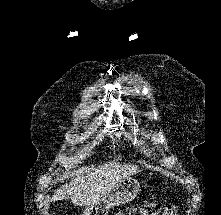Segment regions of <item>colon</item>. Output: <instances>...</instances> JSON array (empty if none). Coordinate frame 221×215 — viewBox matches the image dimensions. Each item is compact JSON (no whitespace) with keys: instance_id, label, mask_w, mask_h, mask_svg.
<instances>
[{"instance_id":"1","label":"colon","mask_w":221,"mask_h":215,"mask_svg":"<svg viewBox=\"0 0 221 215\" xmlns=\"http://www.w3.org/2000/svg\"><path fill=\"white\" fill-rule=\"evenodd\" d=\"M141 215H179L177 206L173 204L147 203L138 209ZM135 208L123 207L116 215H133Z\"/></svg>"}]
</instances>
